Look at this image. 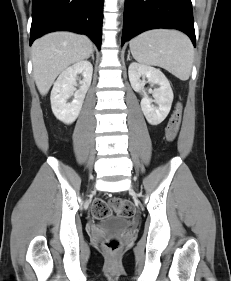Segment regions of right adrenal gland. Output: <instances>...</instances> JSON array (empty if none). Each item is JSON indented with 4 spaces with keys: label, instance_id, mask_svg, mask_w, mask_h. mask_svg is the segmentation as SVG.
<instances>
[{
    "label": "right adrenal gland",
    "instance_id": "obj_1",
    "mask_svg": "<svg viewBox=\"0 0 231 281\" xmlns=\"http://www.w3.org/2000/svg\"><path fill=\"white\" fill-rule=\"evenodd\" d=\"M90 56H91L92 60L94 61V51H92Z\"/></svg>",
    "mask_w": 231,
    "mask_h": 281
}]
</instances>
